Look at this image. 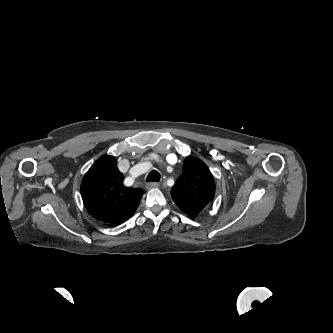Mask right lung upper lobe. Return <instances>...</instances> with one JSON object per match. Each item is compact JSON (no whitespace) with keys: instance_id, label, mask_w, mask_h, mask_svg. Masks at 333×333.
<instances>
[{"instance_id":"obj_1","label":"right lung upper lobe","mask_w":333,"mask_h":333,"mask_svg":"<svg viewBox=\"0 0 333 333\" xmlns=\"http://www.w3.org/2000/svg\"><path fill=\"white\" fill-rule=\"evenodd\" d=\"M123 180L113 156H102L92 165L82 180L81 196L93 217L119 225L133 215L144 190L125 187Z\"/></svg>"}]
</instances>
